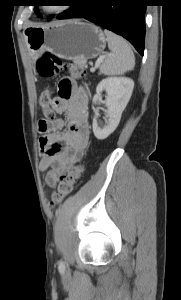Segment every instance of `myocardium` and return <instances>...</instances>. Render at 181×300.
I'll list each match as a JSON object with an SVG mask.
<instances>
[{
  "instance_id": "myocardium-1",
  "label": "myocardium",
  "mask_w": 181,
  "mask_h": 300,
  "mask_svg": "<svg viewBox=\"0 0 181 300\" xmlns=\"http://www.w3.org/2000/svg\"><path fill=\"white\" fill-rule=\"evenodd\" d=\"M42 8L47 14L53 16L62 15L69 9L68 5H60L56 9H49L47 6H43Z\"/></svg>"
}]
</instances>
